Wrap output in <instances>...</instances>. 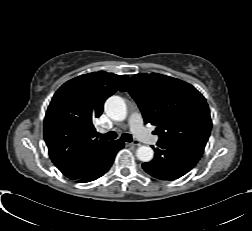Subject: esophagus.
Listing matches in <instances>:
<instances>
[{
    "label": "esophagus",
    "mask_w": 252,
    "mask_h": 231,
    "mask_svg": "<svg viewBox=\"0 0 252 231\" xmlns=\"http://www.w3.org/2000/svg\"><path fill=\"white\" fill-rule=\"evenodd\" d=\"M126 145L127 146H138V145H140V143L137 142V141H134V142H131V143H126Z\"/></svg>",
    "instance_id": "34e87169"
}]
</instances>
